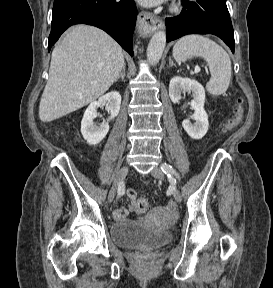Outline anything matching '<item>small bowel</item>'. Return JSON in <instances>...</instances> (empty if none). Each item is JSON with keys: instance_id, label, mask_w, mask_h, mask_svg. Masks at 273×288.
<instances>
[{"instance_id": "1", "label": "small bowel", "mask_w": 273, "mask_h": 288, "mask_svg": "<svg viewBox=\"0 0 273 288\" xmlns=\"http://www.w3.org/2000/svg\"><path fill=\"white\" fill-rule=\"evenodd\" d=\"M126 197L130 202V208L134 210V202L136 200V193L133 189H128L126 191ZM129 214V209L125 207H117L113 212V216L116 220L122 221L124 220Z\"/></svg>"}]
</instances>
